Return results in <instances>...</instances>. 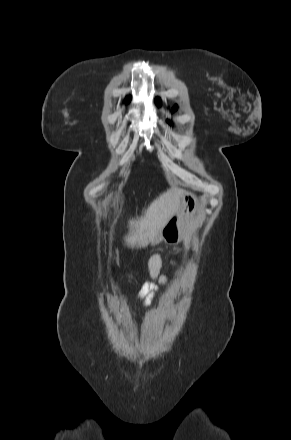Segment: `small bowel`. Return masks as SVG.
<instances>
[{
	"mask_svg": "<svg viewBox=\"0 0 291 440\" xmlns=\"http://www.w3.org/2000/svg\"><path fill=\"white\" fill-rule=\"evenodd\" d=\"M161 257L158 254H155L151 257L149 261V269L150 273L153 277L158 276V272L161 266ZM173 264H177V262H173ZM160 281L162 283H167L168 279L166 277H161ZM156 290L157 288L149 283H146L138 292L136 299L142 301L143 307H149L153 304L156 298Z\"/></svg>",
	"mask_w": 291,
	"mask_h": 440,
	"instance_id": "1",
	"label": "small bowel"
}]
</instances>
